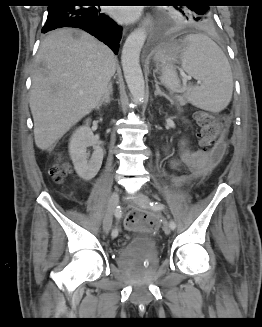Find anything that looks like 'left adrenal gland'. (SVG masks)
Segmentation results:
<instances>
[{
  "label": "left adrenal gland",
  "instance_id": "1",
  "mask_svg": "<svg viewBox=\"0 0 262 327\" xmlns=\"http://www.w3.org/2000/svg\"><path fill=\"white\" fill-rule=\"evenodd\" d=\"M155 87H156V90H155V92H154L155 97H157V96H164L165 98H167L168 100L171 101V99H170V98H169L165 93H163V92L160 90L159 85H158L157 82H156V84H155Z\"/></svg>",
  "mask_w": 262,
  "mask_h": 327
}]
</instances>
